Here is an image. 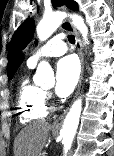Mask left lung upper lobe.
Instances as JSON below:
<instances>
[{
  "label": "left lung upper lobe",
  "mask_w": 114,
  "mask_h": 156,
  "mask_svg": "<svg viewBox=\"0 0 114 156\" xmlns=\"http://www.w3.org/2000/svg\"><path fill=\"white\" fill-rule=\"evenodd\" d=\"M52 2L55 7L65 4L68 8L72 10L78 9L77 3L72 0H53ZM34 25V20L32 18H29L25 20L15 31L8 49V72L18 53L23 50L31 41L34 34Z\"/></svg>",
  "instance_id": "1"
}]
</instances>
